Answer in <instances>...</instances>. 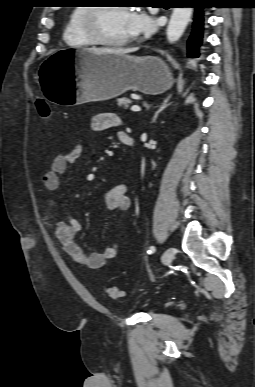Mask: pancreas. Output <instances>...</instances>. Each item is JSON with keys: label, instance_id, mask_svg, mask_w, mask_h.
I'll return each mask as SVG.
<instances>
[{"label": "pancreas", "instance_id": "cf45deb5", "mask_svg": "<svg viewBox=\"0 0 255 387\" xmlns=\"http://www.w3.org/2000/svg\"><path fill=\"white\" fill-rule=\"evenodd\" d=\"M117 103L119 106L127 108L132 103V101L126 97H122L117 99Z\"/></svg>", "mask_w": 255, "mask_h": 387}]
</instances>
